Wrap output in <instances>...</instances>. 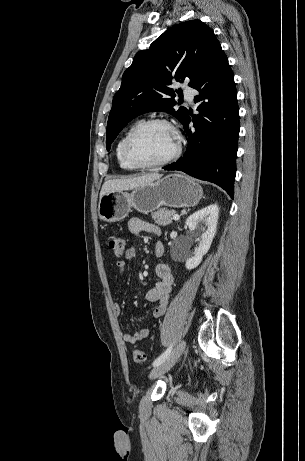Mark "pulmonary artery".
I'll return each mask as SVG.
<instances>
[{"label": "pulmonary artery", "mask_w": 305, "mask_h": 461, "mask_svg": "<svg viewBox=\"0 0 305 461\" xmlns=\"http://www.w3.org/2000/svg\"><path fill=\"white\" fill-rule=\"evenodd\" d=\"M184 94H185V98L189 101V102H192L194 97H195V90L190 88V87H185L184 88Z\"/></svg>", "instance_id": "e3ab8cb5"}]
</instances>
